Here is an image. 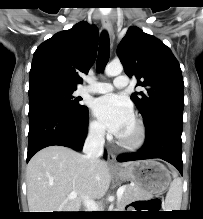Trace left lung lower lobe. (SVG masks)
<instances>
[{
	"instance_id": "left-lung-lower-lobe-1",
	"label": "left lung lower lobe",
	"mask_w": 203,
	"mask_h": 219,
	"mask_svg": "<svg viewBox=\"0 0 203 219\" xmlns=\"http://www.w3.org/2000/svg\"><path fill=\"white\" fill-rule=\"evenodd\" d=\"M146 126V139L137 153L123 154L118 162L161 158L183 172L182 127L183 112H167L156 117Z\"/></svg>"
}]
</instances>
